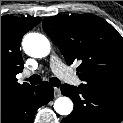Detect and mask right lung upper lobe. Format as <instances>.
<instances>
[{
  "label": "right lung upper lobe",
  "mask_w": 123,
  "mask_h": 123,
  "mask_svg": "<svg viewBox=\"0 0 123 123\" xmlns=\"http://www.w3.org/2000/svg\"><path fill=\"white\" fill-rule=\"evenodd\" d=\"M40 18L1 17V99L23 94L33 86L17 82L23 70L20 42L25 33L35 27Z\"/></svg>",
  "instance_id": "obj_1"
}]
</instances>
